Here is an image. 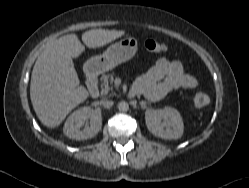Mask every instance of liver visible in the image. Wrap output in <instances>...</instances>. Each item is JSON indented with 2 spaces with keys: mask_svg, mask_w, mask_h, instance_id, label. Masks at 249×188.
Listing matches in <instances>:
<instances>
[{
  "mask_svg": "<svg viewBox=\"0 0 249 188\" xmlns=\"http://www.w3.org/2000/svg\"><path fill=\"white\" fill-rule=\"evenodd\" d=\"M125 31L94 29L82 34L88 48L102 47L121 37ZM85 51L75 34L56 39L38 56L31 75L30 98L41 123L49 128L58 127L65 117L89 93L79 86V78L72 58Z\"/></svg>",
  "mask_w": 249,
  "mask_h": 188,
  "instance_id": "obj_1",
  "label": "liver"
}]
</instances>
